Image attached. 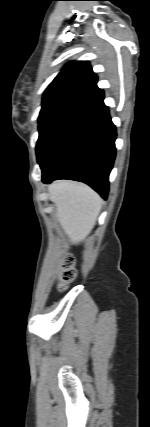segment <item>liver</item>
Here are the masks:
<instances>
[{"instance_id":"6515ba94","label":"liver","mask_w":150,"mask_h":427,"mask_svg":"<svg viewBox=\"0 0 150 427\" xmlns=\"http://www.w3.org/2000/svg\"><path fill=\"white\" fill-rule=\"evenodd\" d=\"M48 191L67 237L74 244L83 241L94 228L100 213V196L89 186L72 181L54 182Z\"/></svg>"}]
</instances>
